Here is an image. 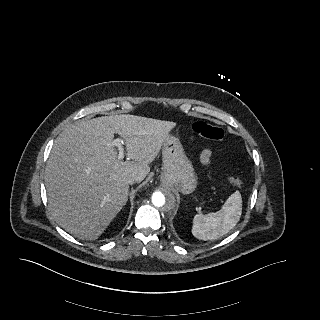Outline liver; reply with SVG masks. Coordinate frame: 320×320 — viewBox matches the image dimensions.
Wrapping results in <instances>:
<instances>
[{"label":"liver","mask_w":320,"mask_h":320,"mask_svg":"<svg viewBox=\"0 0 320 320\" xmlns=\"http://www.w3.org/2000/svg\"><path fill=\"white\" fill-rule=\"evenodd\" d=\"M176 126L120 114L79 120L56 139L45 170L49 209L79 239H97L128 200L127 178L140 183ZM123 138L130 161L118 159L114 135Z\"/></svg>","instance_id":"liver-1"}]
</instances>
